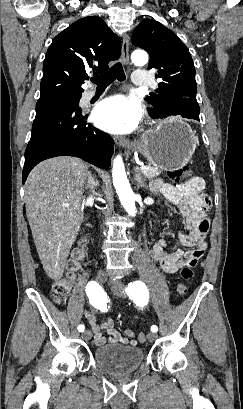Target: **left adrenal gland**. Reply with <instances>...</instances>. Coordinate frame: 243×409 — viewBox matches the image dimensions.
Masks as SVG:
<instances>
[{"label": "left adrenal gland", "mask_w": 243, "mask_h": 409, "mask_svg": "<svg viewBox=\"0 0 243 409\" xmlns=\"http://www.w3.org/2000/svg\"><path fill=\"white\" fill-rule=\"evenodd\" d=\"M134 172H135V181L137 183V187L147 189L148 188L147 184H146L145 180L143 179L138 166H136L134 168Z\"/></svg>", "instance_id": "a2214340"}]
</instances>
